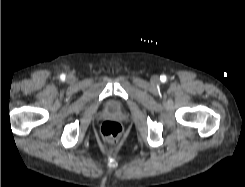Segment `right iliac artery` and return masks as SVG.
Masks as SVG:
<instances>
[{
	"mask_svg": "<svg viewBox=\"0 0 245 187\" xmlns=\"http://www.w3.org/2000/svg\"><path fill=\"white\" fill-rule=\"evenodd\" d=\"M61 78H62V79H65V75H64V74H63V75H61Z\"/></svg>",
	"mask_w": 245,
	"mask_h": 187,
	"instance_id": "right-iliac-artery-1",
	"label": "right iliac artery"
}]
</instances>
